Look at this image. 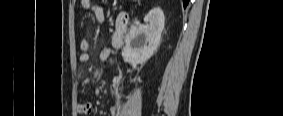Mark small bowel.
I'll return each mask as SVG.
<instances>
[{"label": "small bowel", "mask_w": 283, "mask_h": 116, "mask_svg": "<svg viewBox=\"0 0 283 116\" xmlns=\"http://www.w3.org/2000/svg\"><path fill=\"white\" fill-rule=\"evenodd\" d=\"M81 5L82 7L91 12L99 22H104L105 19H106V15H105V12L104 10L99 7L98 5H96L95 3H93L92 1L90 0H82L81 1ZM89 47H90V44H89V41L87 39H83L81 40L80 44H79V48H80V51H81V55H80V62H87L89 60ZM111 53V50L107 49V50H104L101 52L100 54V58L102 60H106L109 55ZM79 111L81 113H90L92 112V103L91 102H85L83 104H81L79 106ZM110 113L112 116H117L119 114V109H118V106L116 104L112 105L110 107Z\"/></svg>", "instance_id": "obj_1"}]
</instances>
